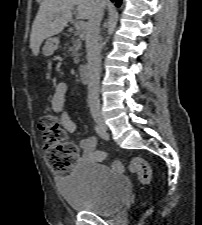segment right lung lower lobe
Listing matches in <instances>:
<instances>
[{
    "mask_svg": "<svg viewBox=\"0 0 202 225\" xmlns=\"http://www.w3.org/2000/svg\"><path fill=\"white\" fill-rule=\"evenodd\" d=\"M111 1H115L116 2V6H120V4H121V0H111Z\"/></svg>",
    "mask_w": 202,
    "mask_h": 225,
    "instance_id": "right-lung-lower-lobe-1",
    "label": "right lung lower lobe"
}]
</instances>
